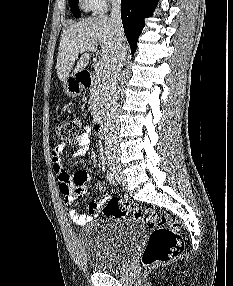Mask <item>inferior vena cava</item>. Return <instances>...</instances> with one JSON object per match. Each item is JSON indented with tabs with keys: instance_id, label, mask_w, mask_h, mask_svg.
I'll return each mask as SVG.
<instances>
[{
	"instance_id": "inferior-vena-cava-1",
	"label": "inferior vena cava",
	"mask_w": 233,
	"mask_h": 286,
	"mask_svg": "<svg viewBox=\"0 0 233 286\" xmlns=\"http://www.w3.org/2000/svg\"><path fill=\"white\" fill-rule=\"evenodd\" d=\"M111 20L115 26V55L111 65L107 69L105 86V132L108 135L107 144L114 141V149L118 151L116 132L118 129L117 120V91L121 70L126 62V45L121 21V1L111 0Z\"/></svg>"
}]
</instances>
